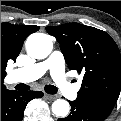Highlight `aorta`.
<instances>
[{
    "label": "aorta",
    "instance_id": "1",
    "mask_svg": "<svg viewBox=\"0 0 121 121\" xmlns=\"http://www.w3.org/2000/svg\"><path fill=\"white\" fill-rule=\"evenodd\" d=\"M53 48L50 37L43 33H33L26 40L28 54L36 59L47 58ZM70 105L66 100L57 99L52 104V112L58 117H66L69 113Z\"/></svg>",
    "mask_w": 121,
    "mask_h": 121
}]
</instances>
